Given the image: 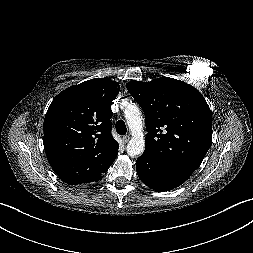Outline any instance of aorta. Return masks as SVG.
Listing matches in <instances>:
<instances>
[{
  "label": "aorta",
  "instance_id": "aorta-1",
  "mask_svg": "<svg viewBox=\"0 0 253 253\" xmlns=\"http://www.w3.org/2000/svg\"><path fill=\"white\" fill-rule=\"evenodd\" d=\"M124 113L132 135L127 145V154L130 157H136L141 155L145 149V140L142 133V116L135 104H129Z\"/></svg>",
  "mask_w": 253,
  "mask_h": 253
}]
</instances>
